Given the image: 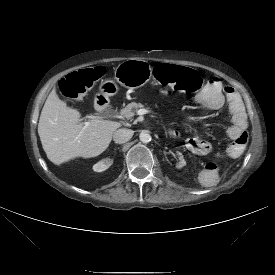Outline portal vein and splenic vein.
Segmentation results:
<instances>
[{"mask_svg": "<svg viewBox=\"0 0 275 275\" xmlns=\"http://www.w3.org/2000/svg\"><path fill=\"white\" fill-rule=\"evenodd\" d=\"M148 111L146 110V109H140V110H138L137 111V114L138 115H144V114H146Z\"/></svg>", "mask_w": 275, "mask_h": 275, "instance_id": "portal-vein-and-splenic-vein-1", "label": "portal vein and splenic vein"}]
</instances>
